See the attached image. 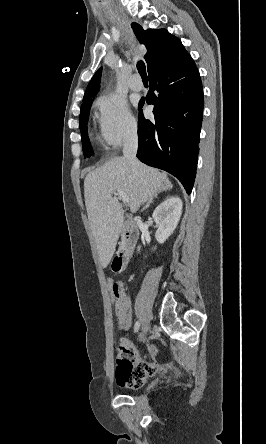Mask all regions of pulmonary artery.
I'll return each mask as SVG.
<instances>
[{
  "label": "pulmonary artery",
  "mask_w": 266,
  "mask_h": 444,
  "mask_svg": "<svg viewBox=\"0 0 266 444\" xmlns=\"http://www.w3.org/2000/svg\"><path fill=\"white\" fill-rule=\"evenodd\" d=\"M129 87L133 91H141L143 89V83L142 81L138 80V74H134L132 76V79L129 82Z\"/></svg>",
  "instance_id": "e3ab8cb5"
}]
</instances>
